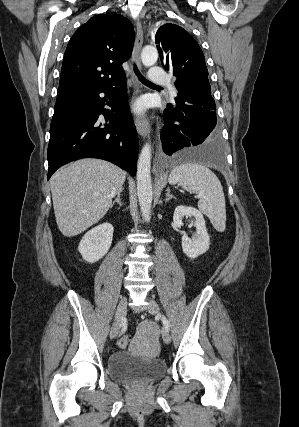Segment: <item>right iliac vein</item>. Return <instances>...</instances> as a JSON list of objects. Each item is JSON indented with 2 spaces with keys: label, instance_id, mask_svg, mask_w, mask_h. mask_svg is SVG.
Instances as JSON below:
<instances>
[{
  "label": "right iliac vein",
  "instance_id": "1",
  "mask_svg": "<svg viewBox=\"0 0 299 427\" xmlns=\"http://www.w3.org/2000/svg\"><path fill=\"white\" fill-rule=\"evenodd\" d=\"M126 308H127V298L125 296H123L121 298L118 306H117L115 320H114L113 326H112L111 331H110V338L111 339L116 338V336L118 335V333L120 331L122 318L124 317V315L126 313Z\"/></svg>",
  "mask_w": 299,
  "mask_h": 427
}]
</instances>
